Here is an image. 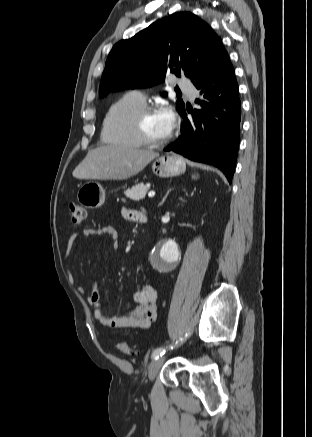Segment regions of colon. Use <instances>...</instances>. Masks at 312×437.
Wrapping results in <instances>:
<instances>
[{"mask_svg": "<svg viewBox=\"0 0 312 437\" xmlns=\"http://www.w3.org/2000/svg\"><path fill=\"white\" fill-rule=\"evenodd\" d=\"M67 209L71 223L73 225H80L86 217V209L74 201L68 202ZM119 350L126 355L133 353V347L127 342H121Z\"/></svg>", "mask_w": 312, "mask_h": 437, "instance_id": "colon-1", "label": "colon"}]
</instances>
